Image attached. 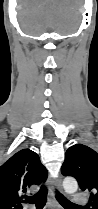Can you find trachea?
<instances>
[{"mask_svg":"<svg viewBox=\"0 0 98 209\" xmlns=\"http://www.w3.org/2000/svg\"><path fill=\"white\" fill-rule=\"evenodd\" d=\"M47 187L42 185L38 193L31 197H27L25 202L30 204H35L37 209H43L47 202ZM56 198L58 202L64 207H74L77 206L71 201H69L66 197H64L60 192L56 191Z\"/></svg>","mask_w":98,"mask_h":209,"instance_id":"1","label":"trachea"}]
</instances>
